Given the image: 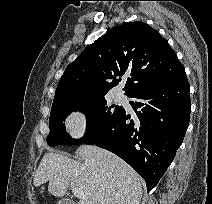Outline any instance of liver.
I'll return each instance as SVG.
<instances>
[{"label": "liver", "mask_w": 212, "mask_h": 204, "mask_svg": "<svg viewBox=\"0 0 212 204\" xmlns=\"http://www.w3.org/2000/svg\"><path fill=\"white\" fill-rule=\"evenodd\" d=\"M76 155L84 162L46 153L34 175V185L49 182L48 192L62 197L74 183L84 194L77 204H140V177L122 159L91 145L79 147Z\"/></svg>", "instance_id": "1"}]
</instances>
